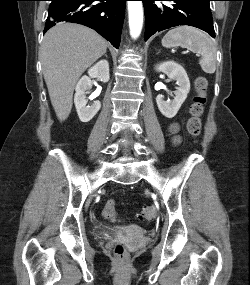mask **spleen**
<instances>
[{
    "mask_svg": "<svg viewBox=\"0 0 250 285\" xmlns=\"http://www.w3.org/2000/svg\"><path fill=\"white\" fill-rule=\"evenodd\" d=\"M162 45L166 48L180 46L200 54L201 69L207 74H213L216 70V46L209 35L197 28L181 26L171 29L163 37Z\"/></svg>",
    "mask_w": 250,
    "mask_h": 285,
    "instance_id": "spleen-1",
    "label": "spleen"
}]
</instances>
